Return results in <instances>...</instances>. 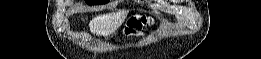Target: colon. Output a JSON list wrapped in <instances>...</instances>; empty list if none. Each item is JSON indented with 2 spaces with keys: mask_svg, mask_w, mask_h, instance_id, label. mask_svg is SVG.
<instances>
[{
  "mask_svg": "<svg viewBox=\"0 0 261 59\" xmlns=\"http://www.w3.org/2000/svg\"><path fill=\"white\" fill-rule=\"evenodd\" d=\"M146 25H147V20L144 19L143 21H138V22H136V23L133 25V27L136 28V29H138V30H141V29H143V27H145Z\"/></svg>",
  "mask_w": 261,
  "mask_h": 59,
  "instance_id": "1",
  "label": "colon"
}]
</instances>
